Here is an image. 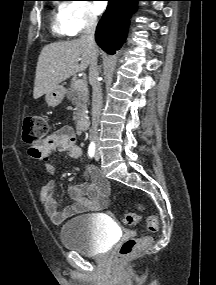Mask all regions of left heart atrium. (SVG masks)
Here are the masks:
<instances>
[{
	"label": "left heart atrium",
	"instance_id": "obj_1",
	"mask_svg": "<svg viewBox=\"0 0 216 285\" xmlns=\"http://www.w3.org/2000/svg\"><path fill=\"white\" fill-rule=\"evenodd\" d=\"M106 6H107L106 1H96L94 3V8L97 13H102L106 9Z\"/></svg>",
	"mask_w": 216,
	"mask_h": 285
}]
</instances>
